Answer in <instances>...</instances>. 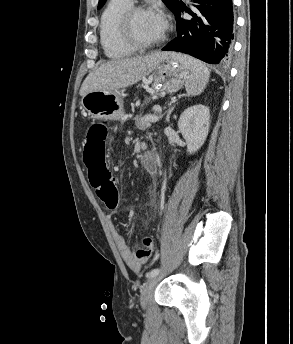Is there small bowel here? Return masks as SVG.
<instances>
[{
    "label": "small bowel",
    "mask_w": 293,
    "mask_h": 344,
    "mask_svg": "<svg viewBox=\"0 0 293 344\" xmlns=\"http://www.w3.org/2000/svg\"><path fill=\"white\" fill-rule=\"evenodd\" d=\"M137 126L141 130H145L147 128V123L143 119L137 120ZM152 172H155V168L149 169ZM114 217V213L109 214V220L112 222ZM113 237L116 243V246L125 261L128 267L134 271L138 272L141 270L142 265L146 262V260H139L135 257L132 249L129 247L126 239L113 227L112 228Z\"/></svg>",
    "instance_id": "c3829d8e"
}]
</instances>
